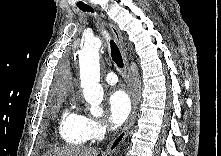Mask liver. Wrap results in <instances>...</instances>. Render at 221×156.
<instances>
[{
	"instance_id": "liver-1",
	"label": "liver",
	"mask_w": 221,
	"mask_h": 156,
	"mask_svg": "<svg viewBox=\"0 0 221 156\" xmlns=\"http://www.w3.org/2000/svg\"><path fill=\"white\" fill-rule=\"evenodd\" d=\"M44 156H99V152L95 148L57 147L46 152Z\"/></svg>"
}]
</instances>
